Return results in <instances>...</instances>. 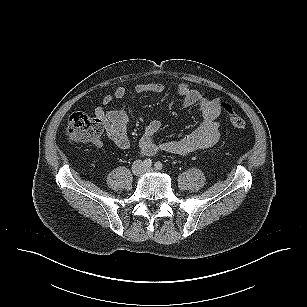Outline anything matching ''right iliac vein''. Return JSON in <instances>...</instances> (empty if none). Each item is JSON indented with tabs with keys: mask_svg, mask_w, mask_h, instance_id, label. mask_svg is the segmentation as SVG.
<instances>
[{
	"mask_svg": "<svg viewBox=\"0 0 307 307\" xmlns=\"http://www.w3.org/2000/svg\"><path fill=\"white\" fill-rule=\"evenodd\" d=\"M143 165L141 163H137L134 167V172L138 175H141L143 173Z\"/></svg>",
	"mask_w": 307,
	"mask_h": 307,
	"instance_id": "right-iliac-vein-1",
	"label": "right iliac vein"
}]
</instances>
